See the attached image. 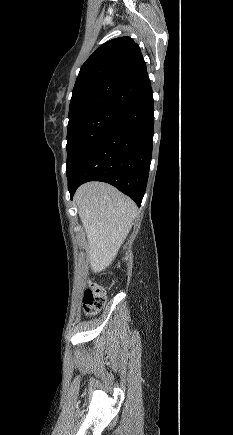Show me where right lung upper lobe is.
<instances>
[{
  "instance_id": "cb5924a9",
  "label": "right lung upper lobe",
  "mask_w": 233,
  "mask_h": 435,
  "mask_svg": "<svg viewBox=\"0 0 233 435\" xmlns=\"http://www.w3.org/2000/svg\"><path fill=\"white\" fill-rule=\"evenodd\" d=\"M151 89L139 46L130 37L101 45L82 65L68 118L97 109L126 111Z\"/></svg>"
}]
</instances>
